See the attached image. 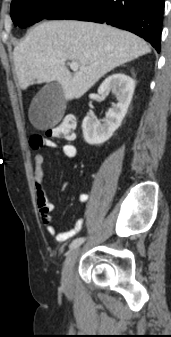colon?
Listing matches in <instances>:
<instances>
[{
	"mask_svg": "<svg viewBox=\"0 0 171 337\" xmlns=\"http://www.w3.org/2000/svg\"><path fill=\"white\" fill-rule=\"evenodd\" d=\"M76 121L74 117L67 116L55 127L48 129L47 136L55 139H72L75 135Z\"/></svg>",
	"mask_w": 171,
	"mask_h": 337,
	"instance_id": "obj_1",
	"label": "colon"
}]
</instances>
